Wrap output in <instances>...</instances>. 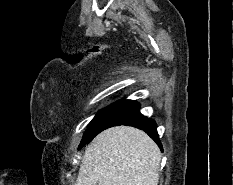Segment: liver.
<instances>
[{"mask_svg": "<svg viewBox=\"0 0 233 185\" xmlns=\"http://www.w3.org/2000/svg\"><path fill=\"white\" fill-rule=\"evenodd\" d=\"M161 152L143 131L117 126L87 146L75 185H158Z\"/></svg>", "mask_w": 233, "mask_h": 185, "instance_id": "6515ba94", "label": "liver"}]
</instances>
